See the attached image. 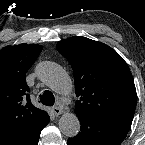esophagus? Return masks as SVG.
<instances>
[{
  "label": "esophagus",
  "mask_w": 145,
  "mask_h": 145,
  "mask_svg": "<svg viewBox=\"0 0 145 145\" xmlns=\"http://www.w3.org/2000/svg\"><path fill=\"white\" fill-rule=\"evenodd\" d=\"M52 112L55 116H58L62 114L63 110L60 107L55 106L52 108Z\"/></svg>",
  "instance_id": "1"
}]
</instances>
